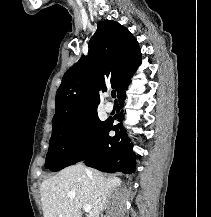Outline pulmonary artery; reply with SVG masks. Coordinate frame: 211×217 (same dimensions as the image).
I'll use <instances>...</instances> for the list:
<instances>
[{"label": "pulmonary artery", "instance_id": "e3ab8cb5", "mask_svg": "<svg viewBox=\"0 0 211 217\" xmlns=\"http://www.w3.org/2000/svg\"><path fill=\"white\" fill-rule=\"evenodd\" d=\"M107 95H108V94H107ZM113 109H114V105H113L112 102H107V103L105 104V110H106L107 112H112Z\"/></svg>", "mask_w": 211, "mask_h": 217}]
</instances>
